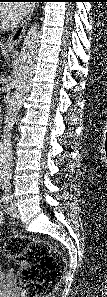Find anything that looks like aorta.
I'll return each instance as SVG.
<instances>
[{
	"label": "aorta",
	"instance_id": "obj_1",
	"mask_svg": "<svg viewBox=\"0 0 107 297\" xmlns=\"http://www.w3.org/2000/svg\"><path fill=\"white\" fill-rule=\"evenodd\" d=\"M39 24L35 22L27 32L18 60L15 91L5 111L0 142V168H8L12 159V129L22 104L29 93L40 43Z\"/></svg>",
	"mask_w": 107,
	"mask_h": 297
}]
</instances>
